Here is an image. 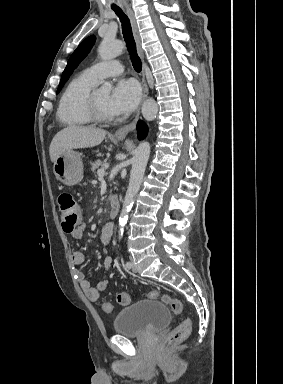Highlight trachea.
Listing matches in <instances>:
<instances>
[{
  "label": "trachea",
  "mask_w": 283,
  "mask_h": 384,
  "mask_svg": "<svg viewBox=\"0 0 283 384\" xmlns=\"http://www.w3.org/2000/svg\"><path fill=\"white\" fill-rule=\"evenodd\" d=\"M112 10H114L116 15L120 18V21L122 24L123 37H124V40L126 42V47H127L128 52H129L133 68L136 72H141L142 63H141L139 56L137 55L136 43H135V40L133 38V33H132L130 21H129L127 15H125V13L122 12L121 8H113Z\"/></svg>",
  "instance_id": "obj_1"
}]
</instances>
